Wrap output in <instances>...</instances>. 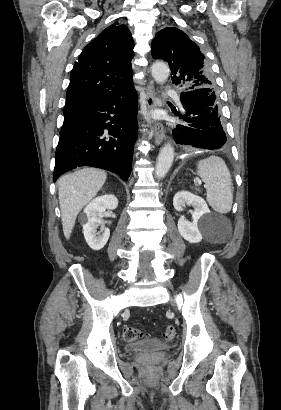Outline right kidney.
<instances>
[{"label":"right kidney","instance_id":"obj_1","mask_svg":"<svg viewBox=\"0 0 281 410\" xmlns=\"http://www.w3.org/2000/svg\"><path fill=\"white\" fill-rule=\"evenodd\" d=\"M118 206V199L114 195L106 194L92 200L84 209L79 220L83 224V234L87 244L93 250L102 249L110 237V230L103 225V213L106 209L114 210ZM102 225L99 232L97 227Z\"/></svg>","mask_w":281,"mask_h":410}]
</instances>
